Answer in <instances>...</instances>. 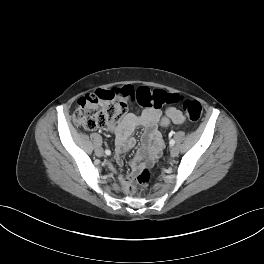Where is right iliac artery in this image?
Segmentation results:
<instances>
[{
    "label": "right iliac artery",
    "mask_w": 264,
    "mask_h": 264,
    "mask_svg": "<svg viewBox=\"0 0 264 264\" xmlns=\"http://www.w3.org/2000/svg\"><path fill=\"white\" fill-rule=\"evenodd\" d=\"M106 155H111V151L109 149L105 150Z\"/></svg>",
    "instance_id": "right-iliac-artery-1"
}]
</instances>
